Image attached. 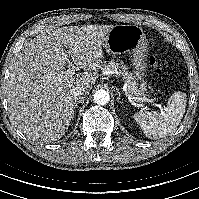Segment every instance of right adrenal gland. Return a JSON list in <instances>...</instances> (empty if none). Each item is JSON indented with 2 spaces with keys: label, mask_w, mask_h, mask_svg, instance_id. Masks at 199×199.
Segmentation results:
<instances>
[{
  "label": "right adrenal gland",
  "mask_w": 199,
  "mask_h": 199,
  "mask_svg": "<svg viewBox=\"0 0 199 199\" xmlns=\"http://www.w3.org/2000/svg\"><path fill=\"white\" fill-rule=\"evenodd\" d=\"M76 106H77V105L74 106V109L76 108ZM73 118H74V113H73V115H72V119H73Z\"/></svg>",
  "instance_id": "1"
}]
</instances>
